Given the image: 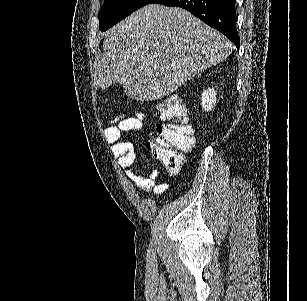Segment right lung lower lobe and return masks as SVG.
Segmentation results:
<instances>
[{
    "instance_id": "obj_1",
    "label": "right lung lower lobe",
    "mask_w": 307,
    "mask_h": 301,
    "mask_svg": "<svg viewBox=\"0 0 307 301\" xmlns=\"http://www.w3.org/2000/svg\"><path fill=\"white\" fill-rule=\"evenodd\" d=\"M152 3L181 7L204 23L219 30L239 49L234 0H154Z\"/></svg>"
}]
</instances>
